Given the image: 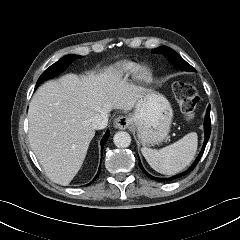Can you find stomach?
<instances>
[{"label":"stomach","mask_w":240,"mask_h":240,"mask_svg":"<svg viewBox=\"0 0 240 240\" xmlns=\"http://www.w3.org/2000/svg\"><path fill=\"white\" fill-rule=\"evenodd\" d=\"M173 111L168 100L159 93L144 92L138 99L134 112L129 116L137 128L142 145L162 142L170 131Z\"/></svg>","instance_id":"0dacf381"}]
</instances>
